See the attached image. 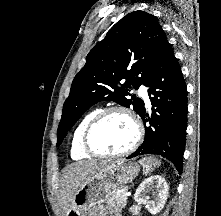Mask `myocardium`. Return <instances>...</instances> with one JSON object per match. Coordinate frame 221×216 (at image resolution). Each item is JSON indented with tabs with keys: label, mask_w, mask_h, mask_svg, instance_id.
I'll return each mask as SVG.
<instances>
[{
	"label": "myocardium",
	"mask_w": 221,
	"mask_h": 216,
	"mask_svg": "<svg viewBox=\"0 0 221 216\" xmlns=\"http://www.w3.org/2000/svg\"><path fill=\"white\" fill-rule=\"evenodd\" d=\"M112 113H121L127 116L134 126L135 136L134 140L129 147L120 152L105 153L95 150L90 144V137L93 129L102 121L106 116ZM144 135V127L141 119L130 108L122 105H115L107 107L99 111L87 124L82 134V147L86 153L91 156L100 158H117L128 155L134 151L142 141Z\"/></svg>",
	"instance_id": "obj_1"
}]
</instances>
